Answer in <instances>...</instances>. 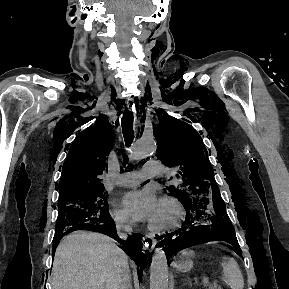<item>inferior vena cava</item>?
I'll use <instances>...</instances> for the list:
<instances>
[{"label":"inferior vena cava","instance_id":"obj_1","mask_svg":"<svg viewBox=\"0 0 289 289\" xmlns=\"http://www.w3.org/2000/svg\"><path fill=\"white\" fill-rule=\"evenodd\" d=\"M117 231H118V234L122 238H126L127 237V233H131L132 232V227L129 224L119 223L117 225ZM119 289H132L130 271H129L128 265L125 266V268L122 271L121 283H120Z\"/></svg>","mask_w":289,"mask_h":289}]
</instances>
